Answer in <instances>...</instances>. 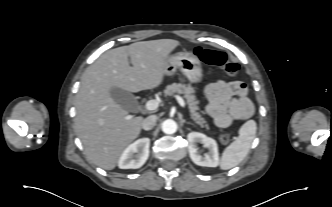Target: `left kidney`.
<instances>
[{"instance_id":"obj_1","label":"left kidney","mask_w":332,"mask_h":207,"mask_svg":"<svg viewBox=\"0 0 332 207\" xmlns=\"http://www.w3.org/2000/svg\"><path fill=\"white\" fill-rule=\"evenodd\" d=\"M188 149L191 160L199 166L217 167L219 165V153L217 143L214 139L199 132H191L187 135ZM203 144L208 153L203 156L198 151L197 144Z\"/></svg>"}]
</instances>
